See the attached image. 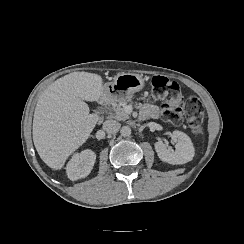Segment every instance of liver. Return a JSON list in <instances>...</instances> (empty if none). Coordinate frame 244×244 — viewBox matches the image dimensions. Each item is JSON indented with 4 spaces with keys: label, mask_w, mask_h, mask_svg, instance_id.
Segmentation results:
<instances>
[{
    "label": "liver",
    "mask_w": 244,
    "mask_h": 244,
    "mask_svg": "<svg viewBox=\"0 0 244 244\" xmlns=\"http://www.w3.org/2000/svg\"><path fill=\"white\" fill-rule=\"evenodd\" d=\"M100 75L73 72L53 82L40 96L34 111L33 142L40 158L61 169L67 158L90 136L99 120L85 101L103 94Z\"/></svg>",
    "instance_id": "6515ba94"
}]
</instances>
